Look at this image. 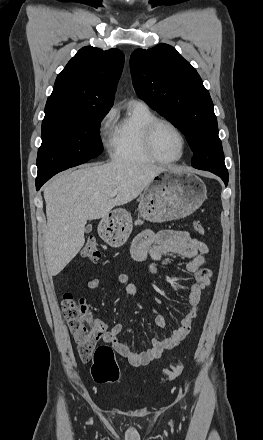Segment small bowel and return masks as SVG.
<instances>
[{"label": "small bowel", "mask_w": 263, "mask_h": 440, "mask_svg": "<svg viewBox=\"0 0 263 440\" xmlns=\"http://www.w3.org/2000/svg\"><path fill=\"white\" fill-rule=\"evenodd\" d=\"M177 254L188 259L184 269L194 274L195 283L190 288L187 300L188 310L180 325L167 336H156L151 340V346L143 351H133L130 345L120 340L119 335L122 326L116 324L109 328V325L101 319L96 318L94 325L106 343H110L114 350L126 358L132 365H147L158 359L165 350L173 349L190 332L192 322L199 311V304L203 291L210 285L212 272L206 267L205 255L210 253V248L202 241L193 238L186 231H160L153 232L146 230L135 237L131 245V255L135 261H144L148 257L152 259L149 266L151 274H157L159 269L170 264L169 259H163L165 254ZM115 285H123L124 292L128 296H136L137 288L130 282L129 275L119 274L114 282ZM101 279L91 277L87 281V289L96 291L100 288ZM155 311V310H154ZM156 323L164 328L166 321L160 314L156 315Z\"/></svg>", "instance_id": "c3829d8e"}]
</instances>
